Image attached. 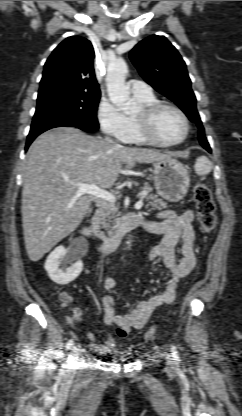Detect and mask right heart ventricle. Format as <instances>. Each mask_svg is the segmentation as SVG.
Returning a JSON list of instances; mask_svg holds the SVG:
<instances>
[{"label": "right heart ventricle", "instance_id": "right-heart-ventricle-1", "mask_svg": "<svg viewBox=\"0 0 242 416\" xmlns=\"http://www.w3.org/2000/svg\"><path fill=\"white\" fill-rule=\"evenodd\" d=\"M135 98L143 105H149L158 101L157 98L153 95V93L147 96H135ZM128 119L130 130L127 138L124 141L137 145L148 144V142L144 140V138L141 136L139 132L135 117H129Z\"/></svg>", "mask_w": 242, "mask_h": 416}]
</instances>
